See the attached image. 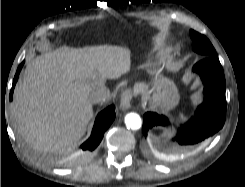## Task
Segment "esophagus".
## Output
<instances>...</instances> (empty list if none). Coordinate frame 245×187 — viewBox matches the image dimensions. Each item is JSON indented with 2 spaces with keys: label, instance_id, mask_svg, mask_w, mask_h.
<instances>
[{
  "label": "esophagus",
  "instance_id": "obj_1",
  "mask_svg": "<svg viewBox=\"0 0 245 187\" xmlns=\"http://www.w3.org/2000/svg\"><path fill=\"white\" fill-rule=\"evenodd\" d=\"M133 98V92L130 89H126L121 94V107L127 110L131 107V101Z\"/></svg>",
  "mask_w": 245,
  "mask_h": 187
}]
</instances>
